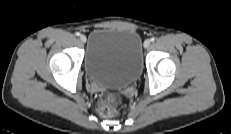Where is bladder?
Wrapping results in <instances>:
<instances>
[{"instance_id": "1", "label": "bladder", "mask_w": 231, "mask_h": 134, "mask_svg": "<svg viewBox=\"0 0 231 134\" xmlns=\"http://www.w3.org/2000/svg\"><path fill=\"white\" fill-rule=\"evenodd\" d=\"M142 67V41L136 32L101 28L89 34L84 69L93 83L124 88L139 78Z\"/></svg>"}]
</instances>
